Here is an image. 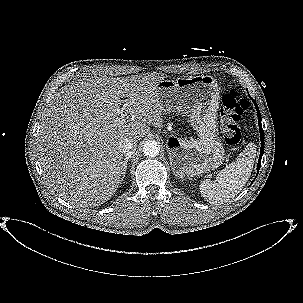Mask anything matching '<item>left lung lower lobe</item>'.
<instances>
[{
	"instance_id": "obj_1",
	"label": "left lung lower lobe",
	"mask_w": 303,
	"mask_h": 303,
	"mask_svg": "<svg viewBox=\"0 0 303 303\" xmlns=\"http://www.w3.org/2000/svg\"><path fill=\"white\" fill-rule=\"evenodd\" d=\"M256 110H257V115H258V123H259V129H260V135H261V150H260V156H259V161H258V171L260 169V165H261V159H262V155L264 152V132L262 129V125H261V114L259 112L258 106L256 104V102L253 100Z\"/></svg>"
}]
</instances>
